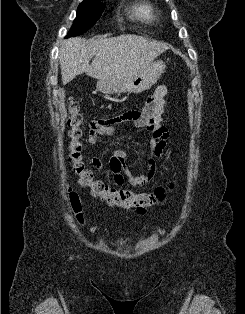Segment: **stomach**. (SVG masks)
I'll return each mask as SVG.
<instances>
[{
  "mask_svg": "<svg viewBox=\"0 0 245 314\" xmlns=\"http://www.w3.org/2000/svg\"><path fill=\"white\" fill-rule=\"evenodd\" d=\"M165 63L156 61L135 75L117 80H99L97 89L104 94L141 93L150 89L164 73Z\"/></svg>",
  "mask_w": 245,
  "mask_h": 314,
  "instance_id": "1",
  "label": "stomach"
}]
</instances>
